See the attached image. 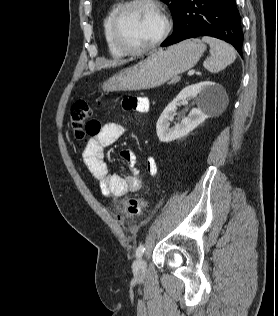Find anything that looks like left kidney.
I'll return each mask as SVG.
<instances>
[{
    "label": "left kidney",
    "mask_w": 278,
    "mask_h": 316,
    "mask_svg": "<svg viewBox=\"0 0 278 316\" xmlns=\"http://www.w3.org/2000/svg\"><path fill=\"white\" fill-rule=\"evenodd\" d=\"M224 95L223 87L212 81H204L185 87L168 104L157 121L156 131L159 140L167 143L190 133L220 105ZM191 97H197L198 107L193 108L188 117L183 118L179 124L170 127L179 102L185 103Z\"/></svg>",
    "instance_id": "obj_1"
}]
</instances>
